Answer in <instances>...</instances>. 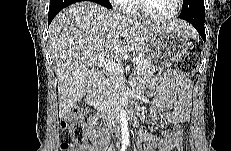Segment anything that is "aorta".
<instances>
[{
  "label": "aorta",
  "instance_id": "aorta-1",
  "mask_svg": "<svg viewBox=\"0 0 231 151\" xmlns=\"http://www.w3.org/2000/svg\"><path fill=\"white\" fill-rule=\"evenodd\" d=\"M120 123H121V135H122V142L124 144H129V127L128 121L126 118V111L122 109L120 111Z\"/></svg>",
  "mask_w": 231,
  "mask_h": 151
}]
</instances>
